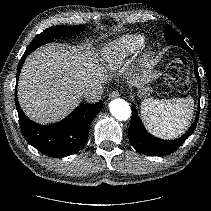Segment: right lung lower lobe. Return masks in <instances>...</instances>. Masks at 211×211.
Instances as JSON below:
<instances>
[{"instance_id":"98d812e1","label":"right lung lower lobe","mask_w":211,"mask_h":211,"mask_svg":"<svg viewBox=\"0 0 211 211\" xmlns=\"http://www.w3.org/2000/svg\"><path fill=\"white\" fill-rule=\"evenodd\" d=\"M28 54L30 53L25 52L20 59L16 83ZM15 105L24 138L49 157L68 156L81 150L88 139L91 122L103 108L102 102L83 104L60 122L44 126L27 118L19 105L17 93H15Z\"/></svg>"}]
</instances>
